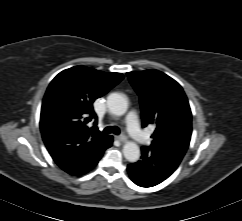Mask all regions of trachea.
I'll return each mask as SVG.
<instances>
[{"instance_id":"obj_1","label":"trachea","mask_w":242,"mask_h":221,"mask_svg":"<svg viewBox=\"0 0 242 221\" xmlns=\"http://www.w3.org/2000/svg\"><path fill=\"white\" fill-rule=\"evenodd\" d=\"M104 133H114L116 135L120 134V129L116 126H108L103 130Z\"/></svg>"}]
</instances>
